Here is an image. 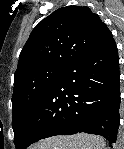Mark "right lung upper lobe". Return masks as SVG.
Here are the masks:
<instances>
[{
  "label": "right lung upper lobe",
  "instance_id": "1",
  "mask_svg": "<svg viewBox=\"0 0 124 149\" xmlns=\"http://www.w3.org/2000/svg\"><path fill=\"white\" fill-rule=\"evenodd\" d=\"M112 33L86 6H66L44 18L31 32L15 71L21 75L42 66L64 68L104 47Z\"/></svg>",
  "mask_w": 124,
  "mask_h": 149
}]
</instances>
